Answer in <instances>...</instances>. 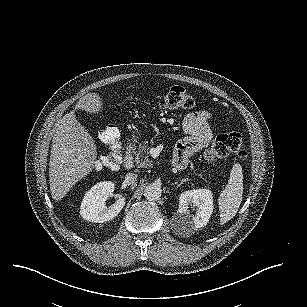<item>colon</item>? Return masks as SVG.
Wrapping results in <instances>:
<instances>
[{
    "mask_svg": "<svg viewBox=\"0 0 307 307\" xmlns=\"http://www.w3.org/2000/svg\"><path fill=\"white\" fill-rule=\"evenodd\" d=\"M158 104L163 109H191L195 105V99L192 93L185 88L173 86L159 98ZM100 139L107 145L109 152L98 158L96 168H115L121 159L119 131L113 126L108 127L101 132ZM231 153H235L242 160L248 157V149L241 136L234 132L217 135L205 151L204 157L207 161H213Z\"/></svg>",
    "mask_w": 307,
    "mask_h": 307,
    "instance_id": "obj_1",
    "label": "colon"
}]
</instances>
